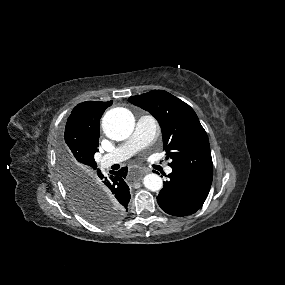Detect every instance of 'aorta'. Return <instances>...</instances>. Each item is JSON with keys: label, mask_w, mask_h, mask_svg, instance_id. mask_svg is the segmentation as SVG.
I'll return each mask as SVG.
<instances>
[{"label": "aorta", "mask_w": 285, "mask_h": 285, "mask_svg": "<svg viewBox=\"0 0 285 285\" xmlns=\"http://www.w3.org/2000/svg\"><path fill=\"white\" fill-rule=\"evenodd\" d=\"M134 117L126 108H114L103 117L102 128L107 137L113 140L127 139L134 129ZM144 186L153 192L163 187L162 178L155 174H147L143 179Z\"/></svg>", "instance_id": "1"}]
</instances>
